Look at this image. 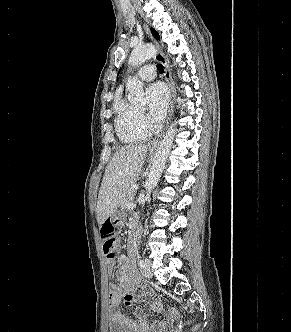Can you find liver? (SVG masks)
<instances>
[{
	"instance_id": "liver-1",
	"label": "liver",
	"mask_w": 291,
	"mask_h": 332,
	"mask_svg": "<svg viewBox=\"0 0 291 332\" xmlns=\"http://www.w3.org/2000/svg\"><path fill=\"white\" fill-rule=\"evenodd\" d=\"M148 147L145 144L120 148L106 167L97 201V222L102 226L112 217L123 193L136 180L144 164Z\"/></svg>"
}]
</instances>
